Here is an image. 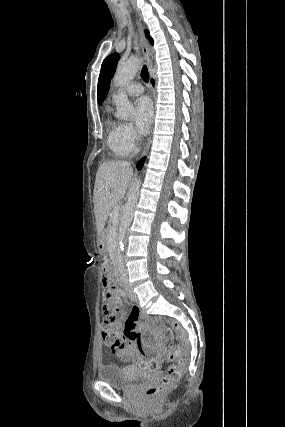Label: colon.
I'll return each mask as SVG.
<instances>
[{
  "label": "colon",
  "instance_id": "obj_1",
  "mask_svg": "<svg viewBox=\"0 0 285 427\" xmlns=\"http://www.w3.org/2000/svg\"><path fill=\"white\" fill-rule=\"evenodd\" d=\"M102 283L105 288L104 299L105 308L108 311V321L102 325V338L109 352H116L121 349V342L119 337L118 327L114 324L113 311L115 309L114 303V284L111 281L110 268L104 265L101 269ZM173 328L181 333V327L176 322H171ZM182 348L180 345H174L168 354L169 360L172 361L167 369V372L160 377L159 383L148 386L145 389V400L149 403L158 402L162 395L166 393L172 382L178 379L181 375L183 360L181 359ZM138 364L143 369H148L157 372L160 369V364L154 358H145L138 361Z\"/></svg>",
  "mask_w": 285,
  "mask_h": 427
}]
</instances>
